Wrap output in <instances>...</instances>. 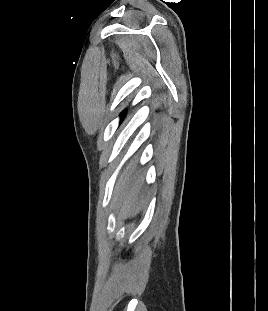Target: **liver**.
I'll list each match as a JSON object with an SVG mask.
<instances>
[{
    "label": "liver",
    "mask_w": 268,
    "mask_h": 311,
    "mask_svg": "<svg viewBox=\"0 0 268 311\" xmlns=\"http://www.w3.org/2000/svg\"><path fill=\"white\" fill-rule=\"evenodd\" d=\"M142 186L143 178L135 174V165L131 163L124 170L115 188L117 201L121 206L120 214L123 218L133 217L141 210L144 203Z\"/></svg>",
    "instance_id": "obj_1"
}]
</instances>
